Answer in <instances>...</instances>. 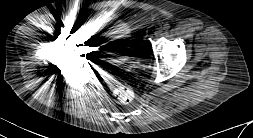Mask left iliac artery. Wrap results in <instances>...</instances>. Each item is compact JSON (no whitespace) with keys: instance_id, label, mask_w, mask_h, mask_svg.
Returning <instances> with one entry per match:
<instances>
[{"instance_id":"obj_1","label":"left iliac artery","mask_w":253,"mask_h":138,"mask_svg":"<svg viewBox=\"0 0 253 138\" xmlns=\"http://www.w3.org/2000/svg\"><path fill=\"white\" fill-rule=\"evenodd\" d=\"M169 27V24L164 25V29H168Z\"/></svg>"}]
</instances>
